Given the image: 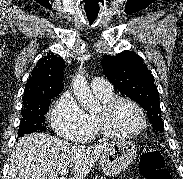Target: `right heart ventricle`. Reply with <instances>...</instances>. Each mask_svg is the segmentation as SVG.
<instances>
[{
	"label": "right heart ventricle",
	"instance_id": "1",
	"mask_svg": "<svg viewBox=\"0 0 183 179\" xmlns=\"http://www.w3.org/2000/svg\"><path fill=\"white\" fill-rule=\"evenodd\" d=\"M95 94L101 100L102 103L114 97L112 92L106 93V94H103V93H95ZM88 117H89L91 124H92V131H96L97 128H96V124L94 121V115L90 114V115H88Z\"/></svg>",
	"mask_w": 183,
	"mask_h": 179
}]
</instances>
